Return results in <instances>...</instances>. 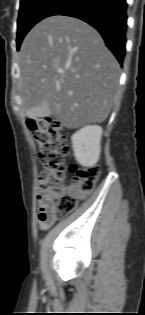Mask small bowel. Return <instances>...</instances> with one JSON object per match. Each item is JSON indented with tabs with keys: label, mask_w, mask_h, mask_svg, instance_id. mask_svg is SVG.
Instances as JSON below:
<instances>
[{
	"label": "small bowel",
	"mask_w": 145,
	"mask_h": 315,
	"mask_svg": "<svg viewBox=\"0 0 145 315\" xmlns=\"http://www.w3.org/2000/svg\"><path fill=\"white\" fill-rule=\"evenodd\" d=\"M59 193L56 191L39 192L38 194V222L42 229H47L53 225L56 220L54 202L58 198Z\"/></svg>",
	"instance_id": "1"
}]
</instances>
